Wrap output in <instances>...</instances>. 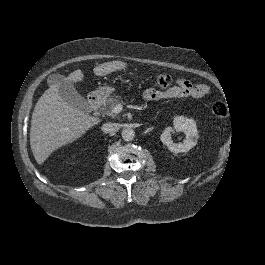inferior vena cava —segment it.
Here are the masks:
<instances>
[{"label":"inferior vena cava","instance_id":"obj_1","mask_svg":"<svg viewBox=\"0 0 265 265\" xmlns=\"http://www.w3.org/2000/svg\"><path fill=\"white\" fill-rule=\"evenodd\" d=\"M102 130L107 133H115L119 130V124L117 123H105L102 126Z\"/></svg>","mask_w":265,"mask_h":265}]
</instances>
